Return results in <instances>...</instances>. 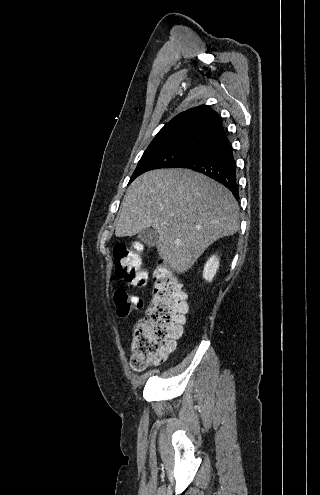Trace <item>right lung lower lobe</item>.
Here are the masks:
<instances>
[{
	"label": "right lung lower lobe",
	"mask_w": 320,
	"mask_h": 495,
	"mask_svg": "<svg viewBox=\"0 0 320 495\" xmlns=\"http://www.w3.org/2000/svg\"><path fill=\"white\" fill-rule=\"evenodd\" d=\"M177 167L189 168L215 179L225 185L238 199L236 163L225 130L206 140L201 148Z\"/></svg>",
	"instance_id": "98d812e1"
}]
</instances>
